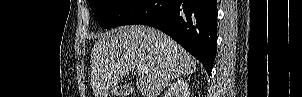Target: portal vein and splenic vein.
<instances>
[{
	"instance_id": "18ae733b",
	"label": "portal vein and splenic vein",
	"mask_w": 302,
	"mask_h": 97,
	"mask_svg": "<svg viewBox=\"0 0 302 97\" xmlns=\"http://www.w3.org/2000/svg\"><path fill=\"white\" fill-rule=\"evenodd\" d=\"M136 70L138 71V73H146L148 71L147 67H145L144 65H138L136 67Z\"/></svg>"
}]
</instances>
